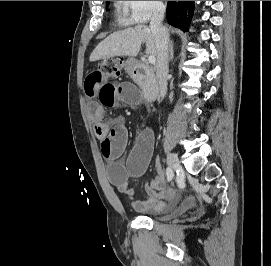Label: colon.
<instances>
[{"label":"colon","mask_w":271,"mask_h":266,"mask_svg":"<svg viewBox=\"0 0 271 266\" xmlns=\"http://www.w3.org/2000/svg\"><path fill=\"white\" fill-rule=\"evenodd\" d=\"M99 69L107 77L118 76L121 73V63L116 59H107L100 63Z\"/></svg>","instance_id":"obj_1"}]
</instances>
